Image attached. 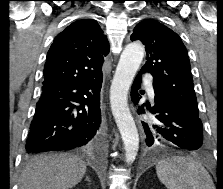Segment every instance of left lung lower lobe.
I'll list each match as a JSON object with an SVG mask.
<instances>
[{
	"label": "left lung lower lobe",
	"mask_w": 223,
	"mask_h": 189,
	"mask_svg": "<svg viewBox=\"0 0 223 189\" xmlns=\"http://www.w3.org/2000/svg\"><path fill=\"white\" fill-rule=\"evenodd\" d=\"M144 71L137 75L131 89V98L134 104H138L141 96L139 87L141 76ZM155 92V105L142 104L138 107V113H144V107L154 115V123L142 121L145 133V145L150 148L159 147L163 144H174L180 149L197 151L203 147V127L198 116L184 111L171 103L161 94L157 84L153 82Z\"/></svg>",
	"instance_id": "0a47b994"
}]
</instances>
